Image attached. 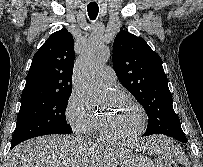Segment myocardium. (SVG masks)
<instances>
[{
    "instance_id": "1",
    "label": "myocardium",
    "mask_w": 203,
    "mask_h": 167,
    "mask_svg": "<svg viewBox=\"0 0 203 167\" xmlns=\"http://www.w3.org/2000/svg\"><path fill=\"white\" fill-rule=\"evenodd\" d=\"M113 94L120 97L121 99L125 100L128 104L133 106L139 112L140 125H139L138 129L132 135H130L128 137H118V136L113 135L107 129L103 119L101 117H99V127L101 130V133H102L104 138H106L109 141L115 142V143L125 144V143H129V142H133V141L137 140L144 133V131L146 129L147 113L140 103H138L136 100L131 98L126 93L116 91Z\"/></svg>"
}]
</instances>
